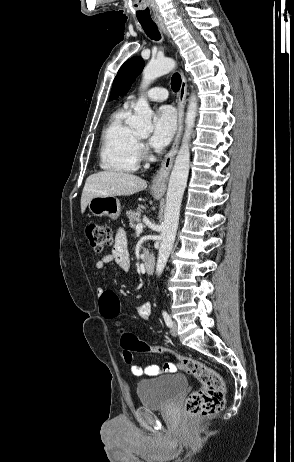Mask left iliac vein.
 Instances as JSON below:
<instances>
[{
    "label": "left iliac vein",
    "instance_id": "4c4485c4",
    "mask_svg": "<svg viewBox=\"0 0 294 462\" xmlns=\"http://www.w3.org/2000/svg\"><path fill=\"white\" fill-rule=\"evenodd\" d=\"M170 333L172 336H177L178 335V324L176 322L173 323Z\"/></svg>",
    "mask_w": 294,
    "mask_h": 462
}]
</instances>
